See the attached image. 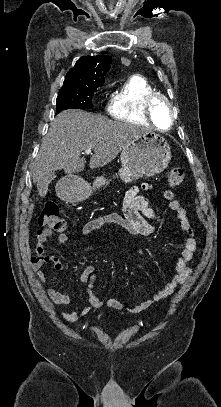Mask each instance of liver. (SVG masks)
<instances>
[{"instance_id": "liver-1", "label": "liver", "mask_w": 221, "mask_h": 407, "mask_svg": "<svg viewBox=\"0 0 221 407\" xmlns=\"http://www.w3.org/2000/svg\"><path fill=\"white\" fill-rule=\"evenodd\" d=\"M148 130L81 110H65L50 123L33 163V182L56 170L66 174L84 170L82 151L91 149V169L103 167L116 158L134 138Z\"/></svg>"}]
</instances>
